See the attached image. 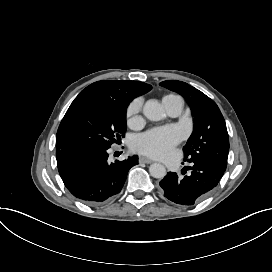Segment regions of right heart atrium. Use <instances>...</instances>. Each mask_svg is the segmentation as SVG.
Returning <instances> with one entry per match:
<instances>
[{
    "label": "right heart atrium",
    "mask_w": 272,
    "mask_h": 272,
    "mask_svg": "<svg viewBox=\"0 0 272 272\" xmlns=\"http://www.w3.org/2000/svg\"><path fill=\"white\" fill-rule=\"evenodd\" d=\"M142 107V100L140 98L135 99L128 109V118L130 123H135L137 119V114Z\"/></svg>",
    "instance_id": "1"
}]
</instances>
